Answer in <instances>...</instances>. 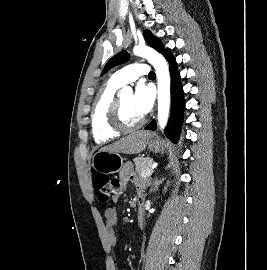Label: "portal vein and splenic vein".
<instances>
[{
    "mask_svg": "<svg viewBox=\"0 0 267 270\" xmlns=\"http://www.w3.org/2000/svg\"><path fill=\"white\" fill-rule=\"evenodd\" d=\"M157 167V163H153L151 169L147 171L145 174L142 175V177L150 176L153 173V170Z\"/></svg>",
    "mask_w": 267,
    "mask_h": 270,
    "instance_id": "18ae733b",
    "label": "portal vein and splenic vein"
}]
</instances>
